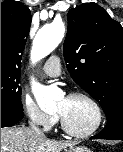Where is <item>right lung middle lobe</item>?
<instances>
[{
  "label": "right lung middle lobe",
  "mask_w": 123,
  "mask_h": 152,
  "mask_svg": "<svg viewBox=\"0 0 123 152\" xmlns=\"http://www.w3.org/2000/svg\"><path fill=\"white\" fill-rule=\"evenodd\" d=\"M19 83L20 70L1 68V108L23 111Z\"/></svg>",
  "instance_id": "dd1d6c3e"
}]
</instances>
